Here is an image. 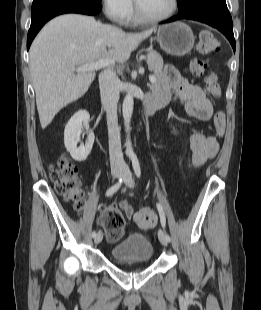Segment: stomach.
Instances as JSON below:
<instances>
[{
    "instance_id": "0dacf381",
    "label": "stomach",
    "mask_w": 261,
    "mask_h": 310,
    "mask_svg": "<svg viewBox=\"0 0 261 310\" xmlns=\"http://www.w3.org/2000/svg\"><path fill=\"white\" fill-rule=\"evenodd\" d=\"M156 39L160 47L173 56L188 54L192 50L195 40L191 28L182 22L159 27Z\"/></svg>"
}]
</instances>
